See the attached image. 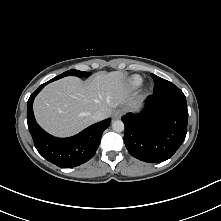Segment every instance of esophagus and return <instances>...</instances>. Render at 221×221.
<instances>
[{
  "label": "esophagus",
  "instance_id": "1",
  "mask_svg": "<svg viewBox=\"0 0 221 221\" xmlns=\"http://www.w3.org/2000/svg\"><path fill=\"white\" fill-rule=\"evenodd\" d=\"M122 114H123V110L115 109L112 116H113L114 119H118L122 116Z\"/></svg>",
  "mask_w": 221,
  "mask_h": 221
}]
</instances>
